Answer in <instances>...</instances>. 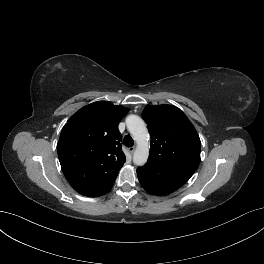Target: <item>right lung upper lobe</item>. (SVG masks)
I'll list each match as a JSON object with an SVG mask.
<instances>
[{"mask_svg": "<svg viewBox=\"0 0 264 264\" xmlns=\"http://www.w3.org/2000/svg\"><path fill=\"white\" fill-rule=\"evenodd\" d=\"M129 109L97 101L78 110L63 127L57 144L62 171L80 194L111 190L125 163L118 124Z\"/></svg>", "mask_w": 264, "mask_h": 264, "instance_id": "1", "label": "right lung upper lobe"}]
</instances>
